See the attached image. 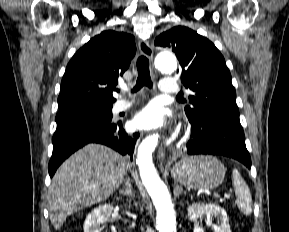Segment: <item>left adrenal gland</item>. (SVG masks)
I'll list each match as a JSON object with an SVG mask.
<instances>
[{"label":"left adrenal gland","mask_w":289,"mask_h":232,"mask_svg":"<svg viewBox=\"0 0 289 232\" xmlns=\"http://www.w3.org/2000/svg\"><path fill=\"white\" fill-rule=\"evenodd\" d=\"M174 196L175 197H179V195L181 194V193H183V189H182V187H180V186H175V188H174ZM185 193V192H184Z\"/></svg>","instance_id":"obj_1"}]
</instances>
